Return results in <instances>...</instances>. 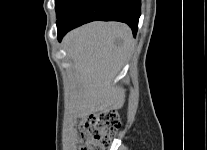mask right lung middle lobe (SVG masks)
Returning <instances> with one entry per match:
<instances>
[{
	"instance_id": "dd1d6c3e",
	"label": "right lung middle lobe",
	"mask_w": 207,
	"mask_h": 150,
	"mask_svg": "<svg viewBox=\"0 0 207 150\" xmlns=\"http://www.w3.org/2000/svg\"><path fill=\"white\" fill-rule=\"evenodd\" d=\"M71 0H55L56 15L61 13V11L70 3Z\"/></svg>"
}]
</instances>
